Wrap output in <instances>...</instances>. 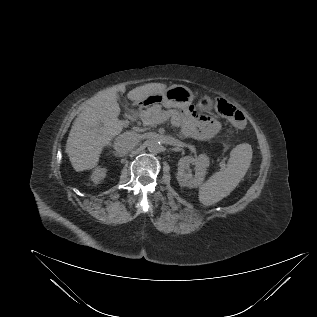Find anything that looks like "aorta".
<instances>
[{
	"mask_svg": "<svg viewBox=\"0 0 317 317\" xmlns=\"http://www.w3.org/2000/svg\"><path fill=\"white\" fill-rule=\"evenodd\" d=\"M147 149L154 154H157L161 151L162 149V144L159 140H150L147 143Z\"/></svg>",
	"mask_w": 317,
	"mask_h": 317,
	"instance_id": "1",
	"label": "aorta"
}]
</instances>
